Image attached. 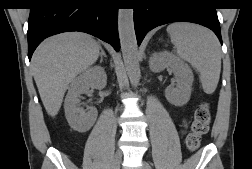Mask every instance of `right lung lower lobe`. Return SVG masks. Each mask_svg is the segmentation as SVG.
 Wrapping results in <instances>:
<instances>
[{
	"label": "right lung lower lobe",
	"instance_id": "1",
	"mask_svg": "<svg viewBox=\"0 0 252 169\" xmlns=\"http://www.w3.org/2000/svg\"><path fill=\"white\" fill-rule=\"evenodd\" d=\"M116 19L112 0H41L29 17L28 56L44 38L64 31L90 33L117 49Z\"/></svg>",
	"mask_w": 252,
	"mask_h": 169
}]
</instances>
